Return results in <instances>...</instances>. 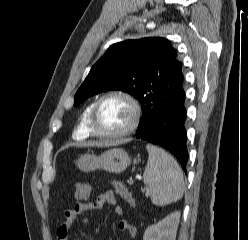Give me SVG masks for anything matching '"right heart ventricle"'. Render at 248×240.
I'll use <instances>...</instances> for the list:
<instances>
[{
  "label": "right heart ventricle",
  "instance_id": "e07e8e85",
  "mask_svg": "<svg viewBox=\"0 0 248 240\" xmlns=\"http://www.w3.org/2000/svg\"><path fill=\"white\" fill-rule=\"evenodd\" d=\"M93 104V102L88 103L82 110L78 124L73 132V137L77 140H84L92 135L89 120Z\"/></svg>",
  "mask_w": 248,
  "mask_h": 240
}]
</instances>
